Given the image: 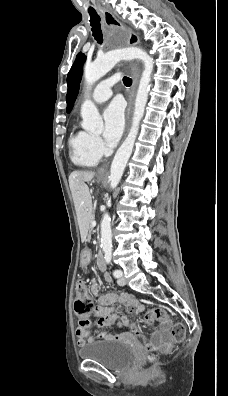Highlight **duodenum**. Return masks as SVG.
<instances>
[{"label": "duodenum", "instance_id": "duodenum-1", "mask_svg": "<svg viewBox=\"0 0 228 396\" xmlns=\"http://www.w3.org/2000/svg\"><path fill=\"white\" fill-rule=\"evenodd\" d=\"M97 265H98V268H99L100 270H102V271H104L105 268H106L105 261H104V259H103V257H102L101 255L98 257Z\"/></svg>", "mask_w": 228, "mask_h": 396}]
</instances>
